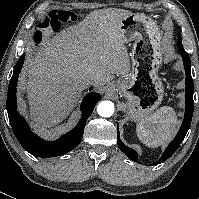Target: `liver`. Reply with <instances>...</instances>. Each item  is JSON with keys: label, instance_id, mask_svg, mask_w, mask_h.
Instances as JSON below:
<instances>
[{"label": "liver", "instance_id": "1", "mask_svg": "<svg viewBox=\"0 0 199 199\" xmlns=\"http://www.w3.org/2000/svg\"><path fill=\"white\" fill-rule=\"evenodd\" d=\"M131 11L107 8L92 11L83 21L44 39L27 54L26 92L30 114L37 125L52 127L74 109L94 78L98 88L114 74L130 71V58L120 29Z\"/></svg>", "mask_w": 199, "mask_h": 199}]
</instances>
